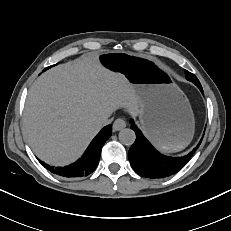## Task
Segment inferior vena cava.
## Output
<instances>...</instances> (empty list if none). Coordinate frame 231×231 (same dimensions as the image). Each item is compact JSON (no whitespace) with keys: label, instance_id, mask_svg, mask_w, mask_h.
Wrapping results in <instances>:
<instances>
[{"label":"inferior vena cava","instance_id":"inferior-vena-cava-1","mask_svg":"<svg viewBox=\"0 0 231 231\" xmlns=\"http://www.w3.org/2000/svg\"><path fill=\"white\" fill-rule=\"evenodd\" d=\"M112 118L109 119L108 117H104L100 120V126L103 127V126H106L108 124H110L112 122Z\"/></svg>","mask_w":231,"mask_h":231}]
</instances>
